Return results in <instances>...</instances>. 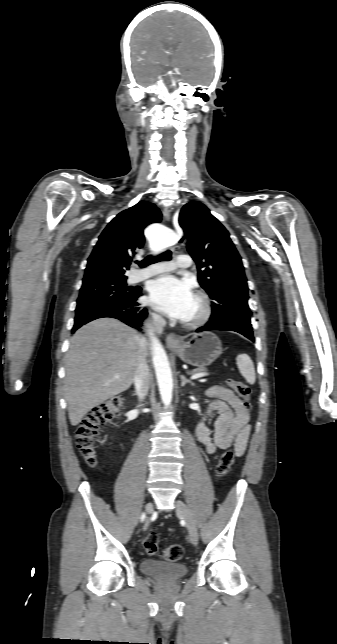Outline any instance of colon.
Wrapping results in <instances>:
<instances>
[{
	"label": "colon",
	"mask_w": 337,
	"mask_h": 644,
	"mask_svg": "<svg viewBox=\"0 0 337 644\" xmlns=\"http://www.w3.org/2000/svg\"><path fill=\"white\" fill-rule=\"evenodd\" d=\"M227 383L243 400L244 408L249 410L251 408L249 387L231 378L227 379ZM123 404L124 398L122 396L113 397L94 407L80 423L76 435V445L88 465H96V443L99 439L101 427L120 413ZM233 463L234 452L231 449L224 451L219 457L216 466L217 477L220 479L225 477ZM158 544L159 537L156 532L149 533L143 541V546L150 555L158 553ZM182 555L183 548L179 544H171L162 551V557L170 562L180 560Z\"/></svg>",
	"instance_id": "1"
}]
</instances>
